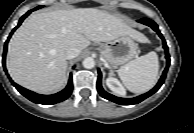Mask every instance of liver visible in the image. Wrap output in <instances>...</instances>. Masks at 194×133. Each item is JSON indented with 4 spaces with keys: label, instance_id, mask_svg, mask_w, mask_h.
Segmentation results:
<instances>
[{
    "label": "liver",
    "instance_id": "6515ba94",
    "mask_svg": "<svg viewBox=\"0 0 194 133\" xmlns=\"http://www.w3.org/2000/svg\"><path fill=\"white\" fill-rule=\"evenodd\" d=\"M129 35L148 39L121 18L95 8L38 12L16 30L8 45L7 69L19 85L41 94L55 93L67 81L65 51L80 50L91 41L109 42Z\"/></svg>",
    "mask_w": 194,
    "mask_h": 133
}]
</instances>
